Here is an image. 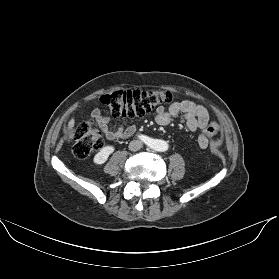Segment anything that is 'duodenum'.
Returning a JSON list of instances; mask_svg holds the SVG:
<instances>
[{
    "label": "duodenum",
    "instance_id": "duodenum-1",
    "mask_svg": "<svg viewBox=\"0 0 279 279\" xmlns=\"http://www.w3.org/2000/svg\"><path fill=\"white\" fill-rule=\"evenodd\" d=\"M133 132H134V130L129 131L130 134L133 133Z\"/></svg>",
    "mask_w": 279,
    "mask_h": 279
}]
</instances>
